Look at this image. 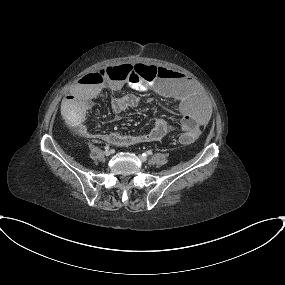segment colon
<instances>
[{"mask_svg": "<svg viewBox=\"0 0 285 285\" xmlns=\"http://www.w3.org/2000/svg\"><path fill=\"white\" fill-rule=\"evenodd\" d=\"M122 72L126 75L129 72L131 76V80L134 82H144V81H155L157 77L160 76V70L153 66L147 65H123L120 70L108 67L102 70H98L90 73H83L80 76L81 82L97 84L103 82L106 78H115L118 74ZM196 134L195 133H184L180 136V142L182 144H191L195 141Z\"/></svg>", "mask_w": 285, "mask_h": 285, "instance_id": "obj_1", "label": "colon"}]
</instances>
